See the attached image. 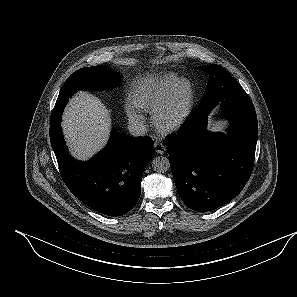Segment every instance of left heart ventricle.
<instances>
[{"mask_svg": "<svg viewBox=\"0 0 297 297\" xmlns=\"http://www.w3.org/2000/svg\"><path fill=\"white\" fill-rule=\"evenodd\" d=\"M178 103L177 104H175L169 111H168V113H167V118H170V117H172L175 113H176V111L178 110Z\"/></svg>", "mask_w": 297, "mask_h": 297, "instance_id": "obj_1", "label": "left heart ventricle"}]
</instances>
